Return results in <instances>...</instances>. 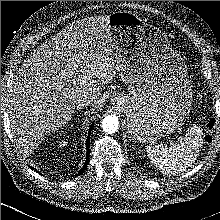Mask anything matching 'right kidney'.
<instances>
[{"instance_id": "obj_1", "label": "right kidney", "mask_w": 220, "mask_h": 220, "mask_svg": "<svg viewBox=\"0 0 220 220\" xmlns=\"http://www.w3.org/2000/svg\"><path fill=\"white\" fill-rule=\"evenodd\" d=\"M66 145H67V142L62 140V142H60V144H59V147L62 148L64 146H66Z\"/></svg>"}]
</instances>
